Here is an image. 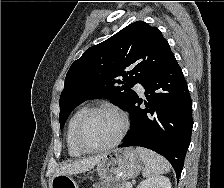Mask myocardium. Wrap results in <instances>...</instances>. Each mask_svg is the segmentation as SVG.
I'll list each match as a JSON object with an SVG mask.
<instances>
[{
  "label": "myocardium",
  "instance_id": "obj_1",
  "mask_svg": "<svg viewBox=\"0 0 224 188\" xmlns=\"http://www.w3.org/2000/svg\"><path fill=\"white\" fill-rule=\"evenodd\" d=\"M100 111L111 112V113L117 115L121 120V130H120L119 134L117 135V137L112 142L102 145V146L92 147V146L85 144L84 141L82 140V130H83V127L86 124L87 120L93 114H95L96 112H100ZM128 129H129V119L124 111H122L121 109H119L115 106L109 105V104H100V105H96L94 107L89 108L81 116V118L79 119V121L76 125V128H75L74 139H75V143H76L77 147L80 150H82L83 152H85V153L100 152V151L108 150V149H111V148L117 146L125 137Z\"/></svg>",
  "mask_w": 224,
  "mask_h": 188
}]
</instances>
